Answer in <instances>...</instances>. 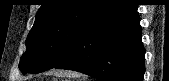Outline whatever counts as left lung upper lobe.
Returning <instances> with one entry per match:
<instances>
[{"mask_svg":"<svg viewBox=\"0 0 169 81\" xmlns=\"http://www.w3.org/2000/svg\"><path fill=\"white\" fill-rule=\"evenodd\" d=\"M115 0H45L26 39L23 74L54 68L71 52L82 31Z\"/></svg>","mask_w":169,"mask_h":81,"instance_id":"left-lung-upper-lobe-1","label":"left lung upper lobe"}]
</instances>
